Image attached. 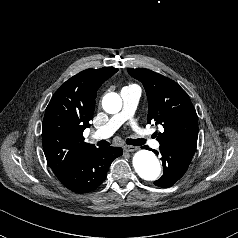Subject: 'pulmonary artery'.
Returning a JSON list of instances; mask_svg holds the SVG:
<instances>
[{
    "mask_svg": "<svg viewBox=\"0 0 238 238\" xmlns=\"http://www.w3.org/2000/svg\"><path fill=\"white\" fill-rule=\"evenodd\" d=\"M121 97L123 100L121 112L112 116L105 125L96 130L93 134L95 138L105 139L110 137L125 121L132 117L140 98V91L136 87H124L121 90ZM134 129L137 135L141 139L149 142L152 147H159V143L149 136L148 131L137 125H134Z\"/></svg>",
    "mask_w": 238,
    "mask_h": 238,
    "instance_id": "e3ab8cb5",
    "label": "pulmonary artery"
}]
</instances>
